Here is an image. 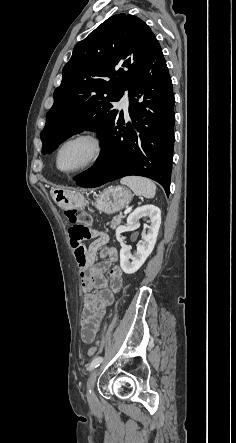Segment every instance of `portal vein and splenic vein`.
<instances>
[{
  "label": "portal vein and splenic vein",
  "mask_w": 236,
  "mask_h": 443,
  "mask_svg": "<svg viewBox=\"0 0 236 443\" xmlns=\"http://www.w3.org/2000/svg\"><path fill=\"white\" fill-rule=\"evenodd\" d=\"M132 208H128L127 210L124 211V214H128L131 211Z\"/></svg>",
  "instance_id": "obj_1"
}]
</instances>
